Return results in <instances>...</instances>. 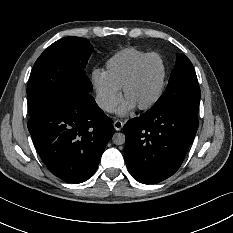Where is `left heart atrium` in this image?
<instances>
[{
  "label": "left heart atrium",
  "instance_id": "obj_1",
  "mask_svg": "<svg viewBox=\"0 0 233 233\" xmlns=\"http://www.w3.org/2000/svg\"><path fill=\"white\" fill-rule=\"evenodd\" d=\"M136 108L137 105L131 99L125 98L115 112L118 116L124 117L134 111Z\"/></svg>",
  "mask_w": 233,
  "mask_h": 233
}]
</instances>
